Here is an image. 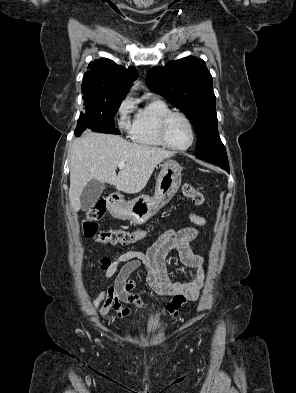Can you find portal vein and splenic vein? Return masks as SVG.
<instances>
[{
    "instance_id": "obj_1",
    "label": "portal vein and splenic vein",
    "mask_w": 296,
    "mask_h": 393,
    "mask_svg": "<svg viewBox=\"0 0 296 393\" xmlns=\"http://www.w3.org/2000/svg\"><path fill=\"white\" fill-rule=\"evenodd\" d=\"M125 166V162H119V164H118V167L120 168V169H122L123 167Z\"/></svg>"
}]
</instances>
